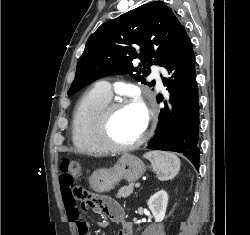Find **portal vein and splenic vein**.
Wrapping results in <instances>:
<instances>
[{
	"instance_id": "18ae733b",
	"label": "portal vein and splenic vein",
	"mask_w": 250,
	"mask_h": 235,
	"mask_svg": "<svg viewBox=\"0 0 250 235\" xmlns=\"http://www.w3.org/2000/svg\"><path fill=\"white\" fill-rule=\"evenodd\" d=\"M135 187L139 188L140 187V183H136Z\"/></svg>"
}]
</instances>
